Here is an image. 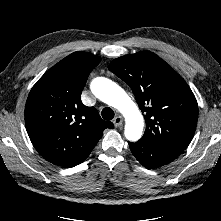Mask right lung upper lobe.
<instances>
[{
	"label": "right lung upper lobe",
	"instance_id": "right-lung-upper-lobe-1",
	"mask_svg": "<svg viewBox=\"0 0 221 221\" xmlns=\"http://www.w3.org/2000/svg\"><path fill=\"white\" fill-rule=\"evenodd\" d=\"M100 61L96 55L74 52L50 68L29 93L26 130L38 153L55 165L82 163L104 129L114 127L80 99L89 73Z\"/></svg>",
	"mask_w": 221,
	"mask_h": 221
}]
</instances>
